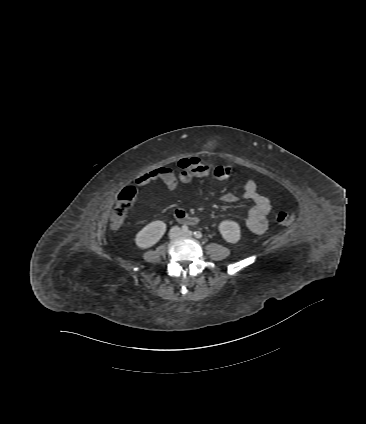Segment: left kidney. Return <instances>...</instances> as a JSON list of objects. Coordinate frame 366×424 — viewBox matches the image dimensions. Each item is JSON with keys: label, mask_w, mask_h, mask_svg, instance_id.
Wrapping results in <instances>:
<instances>
[{"label": "left kidney", "mask_w": 366, "mask_h": 424, "mask_svg": "<svg viewBox=\"0 0 366 424\" xmlns=\"http://www.w3.org/2000/svg\"><path fill=\"white\" fill-rule=\"evenodd\" d=\"M219 231L223 239L228 242L235 244L240 240V226L235 221L225 220L219 224Z\"/></svg>", "instance_id": "1"}]
</instances>
